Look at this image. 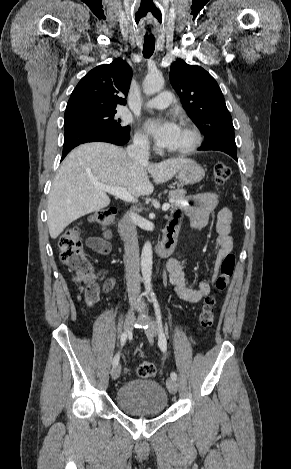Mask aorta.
Listing matches in <instances>:
<instances>
[{
  "mask_svg": "<svg viewBox=\"0 0 291 469\" xmlns=\"http://www.w3.org/2000/svg\"><path fill=\"white\" fill-rule=\"evenodd\" d=\"M164 86V78L160 74L147 75L143 82V91L146 95H153L159 92ZM152 245L147 241L141 253V271L143 275L144 286L147 292L152 290L151 274H152Z\"/></svg>",
  "mask_w": 291,
  "mask_h": 469,
  "instance_id": "1",
  "label": "aorta"
}]
</instances>
